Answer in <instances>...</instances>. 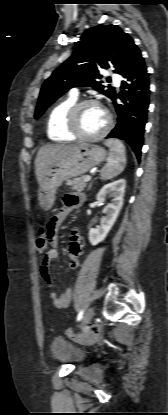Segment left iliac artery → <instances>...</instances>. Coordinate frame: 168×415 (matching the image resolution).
I'll use <instances>...</instances> for the list:
<instances>
[{
    "instance_id": "1",
    "label": "left iliac artery",
    "mask_w": 168,
    "mask_h": 415,
    "mask_svg": "<svg viewBox=\"0 0 168 415\" xmlns=\"http://www.w3.org/2000/svg\"><path fill=\"white\" fill-rule=\"evenodd\" d=\"M83 310H81L80 312H79V314H78V316H77V321H80L81 319H82V317H83Z\"/></svg>"
}]
</instances>
